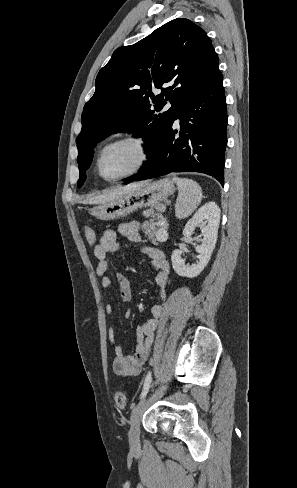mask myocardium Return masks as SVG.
<instances>
[{"label":"myocardium","mask_w":297,"mask_h":488,"mask_svg":"<svg viewBox=\"0 0 297 488\" xmlns=\"http://www.w3.org/2000/svg\"><path fill=\"white\" fill-rule=\"evenodd\" d=\"M124 142H131V143L136 144L139 147V149L141 151V157H140L139 161L137 162V164L134 167H132L130 170H128L127 172H125L123 174H120L118 176L111 177V178L106 177L102 171V159H103L104 154L106 153V151L109 148H111L117 144L124 143ZM151 156H152L151 146L145 137H143L141 135H136V134H128V135L120 136V137L115 138L112 141L108 142L100 150L98 158H97L98 173L101 176V178H103L105 181L115 182V181L130 177L132 175H135L136 173L143 170L148 165V163L150 162Z\"/></svg>","instance_id":"myocardium-1"}]
</instances>
